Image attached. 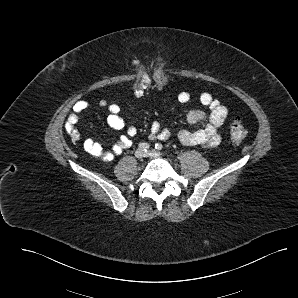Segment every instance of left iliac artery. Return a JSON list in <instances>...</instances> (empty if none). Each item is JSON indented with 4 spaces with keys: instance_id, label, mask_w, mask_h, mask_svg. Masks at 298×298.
Returning <instances> with one entry per match:
<instances>
[{
    "instance_id": "44dca946",
    "label": "left iliac artery",
    "mask_w": 298,
    "mask_h": 298,
    "mask_svg": "<svg viewBox=\"0 0 298 298\" xmlns=\"http://www.w3.org/2000/svg\"><path fill=\"white\" fill-rule=\"evenodd\" d=\"M155 148H156L157 150H161V149L163 148V146H162L161 143H157V144H155Z\"/></svg>"
}]
</instances>
